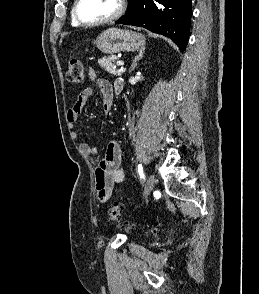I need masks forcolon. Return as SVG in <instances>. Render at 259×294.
I'll use <instances>...</instances> for the list:
<instances>
[{
    "instance_id": "colon-1",
    "label": "colon",
    "mask_w": 259,
    "mask_h": 294,
    "mask_svg": "<svg viewBox=\"0 0 259 294\" xmlns=\"http://www.w3.org/2000/svg\"><path fill=\"white\" fill-rule=\"evenodd\" d=\"M66 80L72 84H79L84 81L85 73L84 67L80 60L77 58H70L67 64L66 73H65ZM121 211H122V204L120 202H115L114 205L108 210L107 213V222L108 223H116L121 221ZM124 226V225H123Z\"/></svg>"
}]
</instances>
